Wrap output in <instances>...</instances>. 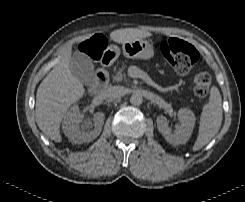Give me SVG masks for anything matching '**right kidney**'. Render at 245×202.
<instances>
[{
	"label": "right kidney",
	"mask_w": 245,
	"mask_h": 202,
	"mask_svg": "<svg viewBox=\"0 0 245 202\" xmlns=\"http://www.w3.org/2000/svg\"><path fill=\"white\" fill-rule=\"evenodd\" d=\"M104 119V113L98 112L93 116L94 124L88 120L85 121L80 127V123L83 120V115L80 113L79 107L74 105L65 115L62 123V129L71 142L75 144H82L93 141L99 136ZM93 125L94 129H92Z\"/></svg>",
	"instance_id": "1"
}]
</instances>
